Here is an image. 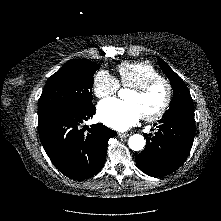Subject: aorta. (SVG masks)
I'll return each mask as SVG.
<instances>
[{"label":"aorta","instance_id":"obj_1","mask_svg":"<svg viewBox=\"0 0 221 221\" xmlns=\"http://www.w3.org/2000/svg\"><path fill=\"white\" fill-rule=\"evenodd\" d=\"M146 141L140 134L132 135L128 140V145L133 151H140L145 147Z\"/></svg>","mask_w":221,"mask_h":221}]
</instances>
